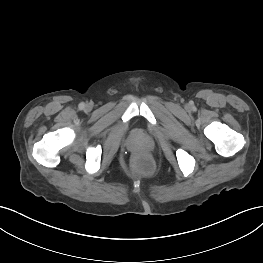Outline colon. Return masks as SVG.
I'll return each instance as SVG.
<instances>
[{"label":"colon","mask_w":263,"mask_h":263,"mask_svg":"<svg viewBox=\"0 0 263 263\" xmlns=\"http://www.w3.org/2000/svg\"><path fill=\"white\" fill-rule=\"evenodd\" d=\"M135 166L140 172H148L151 169L150 162L145 159H139Z\"/></svg>","instance_id":"colon-1"}]
</instances>
